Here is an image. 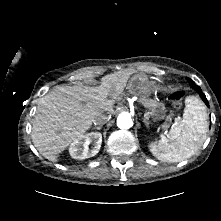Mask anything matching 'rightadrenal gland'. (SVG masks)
<instances>
[{
	"label": "right adrenal gland",
	"instance_id": "right-adrenal-gland-1",
	"mask_svg": "<svg viewBox=\"0 0 221 221\" xmlns=\"http://www.w3.org/2000/svg\"><path fill=\"white\" fill-rule=\"evenodd\" d=\"M101 128H102V125L94 127L93 129L101 130Z\"/></svg>",
	"mask_w": 221,
	"mask_h": 221
}]
</instances>
